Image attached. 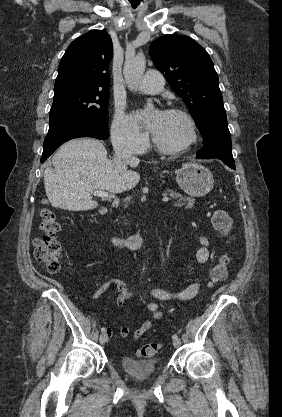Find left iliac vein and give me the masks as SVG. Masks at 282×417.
<instances>
[{
    "label": "left iliac vein",
    "instance_id": "obj_1",
    "mask_svg": "<svg viewBox=\"0 0 282 417\" xmlns=\"http://www.w3.org/2000/svg\"><path fill=\"white\" fill-rule=\"evenodd\" d=\"M180 345H181V341H180V339H175V340H173V346H174L175 348H178Z\"/></svg>",
    "mask_w": 282,
    "mask_h": 417
}]
</instances>
